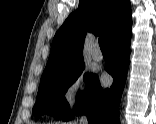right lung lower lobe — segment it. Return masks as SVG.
Listing matches in <instances>:
<instances>
[{"label": "right lung lower lobe", "mask_w": 156, "mask_h": 124, "mask_svg": "<svg viewBox=\"0 0 156 124\" xmlns=\"http://www.w3.org/2000/svg\"><path fill=\"white\" fill-rule=\"evenodd\" d=\"M131 34L129 29L109 44L110 58L105 70L114 79L111 88L103 89L95 76L82 101L62 120L68 121L75 115L85 114L90 124H119L118 106L129 65Z\"/></svg>", "instance_id": "right-lung-lower-lobe-1"}]
</instances>
